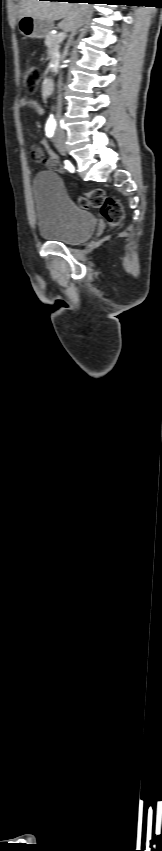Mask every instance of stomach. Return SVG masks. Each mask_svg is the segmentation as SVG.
Here are the masks:
<instances>
[{"instance_id":"0dacf381","label":"stomach","mask_w":162,"mask_h":851,"mask_svg":"<svg viewBox=\"0 0 162 851\" xmlns=\"http://www.w3.org/2000/svg\"><path fill=\"white\" fill-rule=\"evenodd\" d=\"M53 27V22L23 16L18 21V29L26 38L41 39L46 37Z\"/></svg>"}]
</instances>
